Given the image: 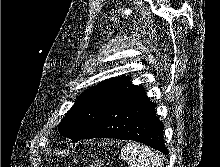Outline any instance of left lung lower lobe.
Here are the masks:
<instances>
[{
  "label": "left lung lower lobe",
  "instance_id": "1",
  "mask_svg": "<svg viewBox=\"0 0 220 167\" xmlns=\"http://www.w3.org/2000/svg\"><path fill=\"white\" fill-rule=\"evenodd\" d=\"M89 138L135 140L168 154L163 124L156 116L154 103L142 87L132 84L109 104L81 139Z\"/></svg>",
  "mask_w": 220,
  "mask_h": 167
}]
</instances>
